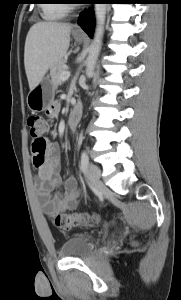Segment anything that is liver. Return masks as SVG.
I'll list each match as a JSON object with an SVG mask.
<instances>
[{"label":"liver","instance_id":"1","mask_svg":"<svg viewBox=\"0 0 181 300\" xmlns=\"http://www.w3.org/2000/svg\"><path fill=\"white\" fill-rule=\"evenodd\" d=\"M72 26L67 23L38 22L26 37L24 65L30 90L66 54Z\"/></svg>","mask_w":181,"mask_h":300}]
</instances>
